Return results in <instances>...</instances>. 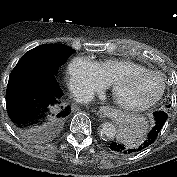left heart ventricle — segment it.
I'll list each match as a JSON object with an SVG mask.
<instances>
[{
	"label": "left heart ventricle",
	"mask_w": 177,
	"mask_h": 177,
	"mask_svg": "<svg viewBox=\"0 0 177 177\" xmlns=\"http://www.w3.org/2000/svg\"><path fill=\"white\" fill-rule=\"evenodd\" d=\"M161 83L153 76H139L125 80L116 90V97L126 104H140L149 101L160 90Z\"/></svg>",
	"instance_id": "left-heart-ventricle-1"
}]
</instances>
